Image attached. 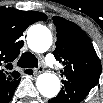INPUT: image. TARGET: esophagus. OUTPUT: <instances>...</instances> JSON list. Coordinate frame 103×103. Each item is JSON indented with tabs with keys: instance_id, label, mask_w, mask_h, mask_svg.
<instances>
[{
	"instance_id": "1",
	"label": "esophagus",
	"mask_w": 103,
	"mask_h": 103,
	"mask_svg": "<svg viewBox=\"0 0 103 103\" xmlns=\"http://www.w3.org/2000/svg\"><path fill=\"white\" fill-rule=\"evenodd\" d=\"M43 70H44L43 67H38V68L34 69L33 71H34V74L37 75V74L43 72Z\"/></svg>"
}]
</instances>
